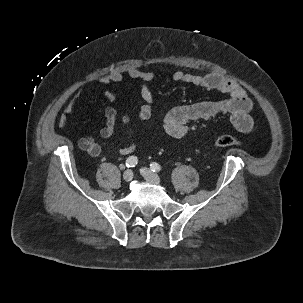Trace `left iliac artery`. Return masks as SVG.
<instances>
[{"mask_svg": "<svg viewBox=\"0 0 303 303\" xmlns=\"http://www.w3.org/2000/svg\"><path fill=\"white\" fill-rule=\"evenodd\" d=\"M150 168H151V170H152L153 172H159V171L161 170L160 165H159L158 163H156V162H152V163L150 164Z\"/></svg>", "mask_w": 303, "mask_h": 303, "instance_id": "left-iliac-artery-1", "label": "left iliac artery"}]
</instances>
